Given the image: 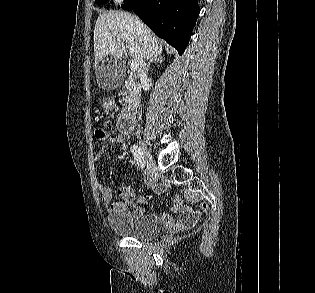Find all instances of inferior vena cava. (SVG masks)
<instances>
[{
  "instance_id": "602c4592",
  "label": "inferior vena cava",
  "mask_w": 315,
  "mask_h": 293,
  "mask_svg": "<svg viewBox=\"0 0 315 293\" xmlns=\"http://www.w3.org/2000/svg\"><path fill=\"white\" fill-rule=\"evenodd\" d=\"M141 28H142V24L141 22L139 21L138 22V29L141 31ZM146 65L144 63V61L142 60L139 64V69H138V77L140 79H146L147 78V75H146ZM139 132V130L137 131V133Z\"/></svg>"
}]
</instances>
